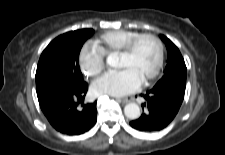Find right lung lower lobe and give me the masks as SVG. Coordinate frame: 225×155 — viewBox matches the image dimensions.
<instances>
[{
  "mask_svg": "<svg viewBox=\"0 0 225 155\" xmlns=\"http://www.w3.org/2000/svg\"><path fill=\"white\" fill-rule=\"evenodd\" d=\"M88 84H63L38 99L50 124L67 135H80L97 121L96 102L84 104Z\"/></svg>",
  "mask_w": 225,
  "mask_h": 155,
  "instance_id": "obj_1",
  "label": "right lung lower lobe"
}]
</instances>
